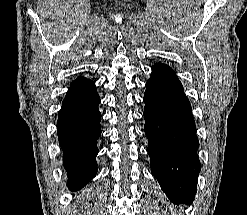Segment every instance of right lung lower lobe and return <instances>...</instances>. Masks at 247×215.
Here are the masks:
<instances>
[{
    "mask_svg": "<svg viewBox=\"0 0 247 215\" xmlns=\"http://www.w3.org/2000/svg\"><path fill=\"white\" fill-rule=\"evenodd\" d=\"M99 103L95 84L78 77L70 84L58 113L57 133L71 191L81 189L97 173L96 141L101 134Z\"/></svg>",
    "mask_w": 247,
    "mask_h": 215,
    "instance_id": "1",
    "label": "right lung lower lobe"
}]
</instances>
